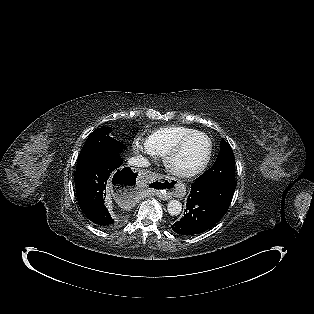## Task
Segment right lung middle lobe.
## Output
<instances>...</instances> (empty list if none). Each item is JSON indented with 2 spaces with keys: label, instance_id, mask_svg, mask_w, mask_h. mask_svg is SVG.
I'll use <instances>...</instances> for the list:
<instances>
[{
  "label": "right lung middle lobe",
  "instance_id": "obj_1",
  "mask_svg": "<svg viewBox=\"0 0 314 314\" xmlns=\"http://www.w3.org/2000/svg\"><path fill=\"white\" fill-rule=\"evenodd\" d=\"M110 128L103 127L93 131L85 142L77 161L76 170L99 161L113 152H121L123 144L109 136Z\"/></svg>",
  "mask_w": 314,
  "mask_h": 314
}]
</instances>
